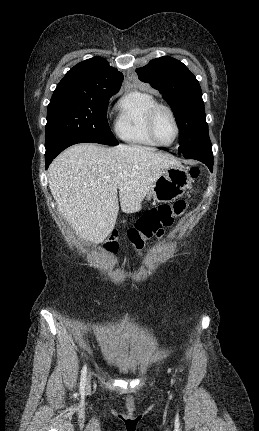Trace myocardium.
Masks as SVG:
<instances>
[{
  "label": "myocardium",
  "instance_id": "f54148a6",
  "mask_svg": "<svg viewBox=\"0 0 259 431\" xmlns=\"http://www.w3.org/2000/svg\"><path fill=\"white\" fill-rule=\"evenodd\" d=\"M160 110H165L166 112H168V114L170 115V117L174 123L175 135L169 143L161 142L157 138L156 133H155V118H156L157 113ZM147 129H148L149 135L152 138V140L157 145L164 146V147L172 145L177 140V138L179 137V133H180V127H179V123H178L175 112L173 111V109L170 106L163 104V103H156L149 109V111L147 113Z\"/></svg>",
  "mask_w": 259,
  "mask_h": 431
}]
</instances>
